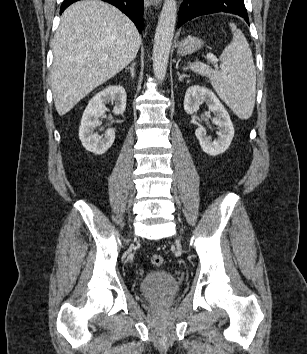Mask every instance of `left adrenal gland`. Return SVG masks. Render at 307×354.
I'll return each mask as SVG.
<instances>
[{"instance_id":"left-adrenal-gland-1","label":"left adrenal gland","mask_w":307,"mask_h":354,"mask_svg":"<svg viewBox=\"0 0 307 354\" xmlns=\"http://www.w3.org/2000/svg\"><path fill=\"white\" fill-rule=\"evenodd\" d=\"M177 75H178V80L179 81H182L184 78H188L189 76L188 75H185V74H180L179 71H177Z\"/></svg>"}]
</instances>
